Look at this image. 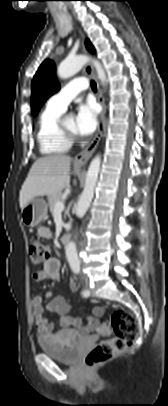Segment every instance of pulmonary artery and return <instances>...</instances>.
Instances as JSON below:
<instances>
[{"label":"pulmonary artery","instance_id":"pulmonary-artery-1","mask_svg":"<svg viewBox=\"0 0 168 406\" xmlns=\"http://www.w3.org/2000/svg\"><path fill=\"white\" fill-rule=\"evenodd\" d=\"M88 88V81L83 78H76L66 84L59 92L54 94L47 105L65 111L68 104L82 91Z\"/></svg>","mask_w":168,"mask_h":406}]
</instances>
